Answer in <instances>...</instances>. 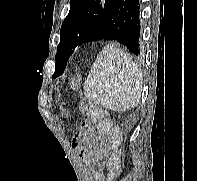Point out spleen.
<instances>
[{
    "mask_svg": "<svg viewBox=\"0 0 197 181\" xmlns=\"http://www.w3.org/2000/svg\"><path fill=\"white\" fill-rule=\"evenodd\" d=\"M83 88L92 103L112 111H127L139 103L141 70L119 46L108 45L91 66Z\"/></svg>",
    "mask_w": 197,
    "mask_h": 181,
    "instance_id": "3e777b00",
    "label": "spleen"
}]
</instances>
